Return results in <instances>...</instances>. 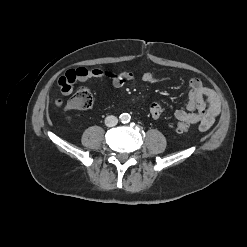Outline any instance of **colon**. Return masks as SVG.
<instances>
[{
  "mask_svg": "<svg viewBox=\"0 0 247 247\" xmlns=\"http://www.w3.org/2000/svg\"><path fill=\"white\" fill-rule=\"evenodd\" d=\"M69 103L74 109H88L93 105V95L88 88L80 87ZM174 128L179 133H185L188 131L189 125L185 122H177Z\"/></svg>",
  "mask_w": 247,
  "mask_h": 247,
  "instance_id": "5ec220e1",
  "label": "colon"
}]
</instances>
